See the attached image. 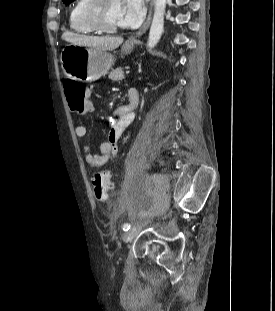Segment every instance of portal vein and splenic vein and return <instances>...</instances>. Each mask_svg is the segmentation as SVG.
<instances>
[{
	"instance_id": "18ae733b",
	"label": "portal vein and splenic vein",
	"mask_w": 275,
	"mask_h": 311,
	"mask_svg": "<svg viewBox=\"0 0 275 311\" xmlns=\"http://www.w3.org/2000/svg\"><path fill=\"white\" fill-rule=\"evenodd\" d=\"M130 73V71L128 70V71H126V74H129Z\"/></svg>"
}]
</instances>
